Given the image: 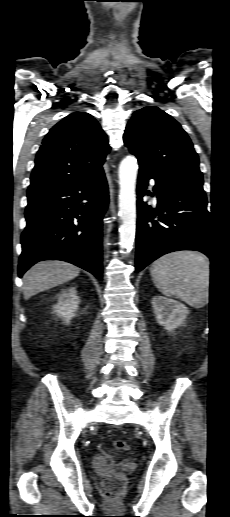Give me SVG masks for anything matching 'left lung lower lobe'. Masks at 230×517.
Segmentation results:
<instances>
[{"mask_svg": "<svg viewBox=\"0 0 230 517\" xmlns=\"http://www.w3.org/2000/svg\"><path fill=\"white\" fill-rule=\"evenodd\" d=\"M154 179L157 208L142 201L148 180ZM136 271L160 256L179 250H196L212 259L209 218L202 185L179 183L139 170L137 185Z\"/></svg>", "mask_w": 230, "mask_h": 517, "instance_id": "obj_1", "label": "left lung lower lobe"}]
</instances>
